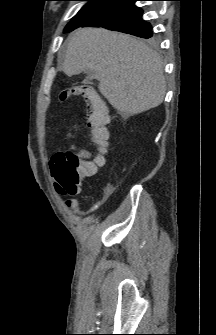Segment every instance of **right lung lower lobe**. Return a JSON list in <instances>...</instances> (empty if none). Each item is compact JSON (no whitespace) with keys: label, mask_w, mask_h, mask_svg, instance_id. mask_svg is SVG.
<instances>
[{"label":"right lung lower lobe","mask_w":216,"mask_h":335,"mask_svg":"<svg viewBox=\"0 0 216 335\" xmlns=\"http://www.w3.org/2000/svg\"><path fill=\"white\" fill-rule=\"evenodd\" d=\"M137 0H118L80 27H104L141 38L152 37V26L142 19V9L136 7Z\"/></svg>","instance_id":"98d812e1"}]
</instances>
